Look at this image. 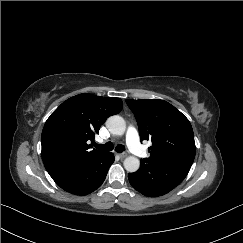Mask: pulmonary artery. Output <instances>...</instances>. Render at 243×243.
Listing matches in <instances>:
<instances>
[{"instance_id":"pulmonary-artery-1","label":"pulmonary artery","mask_w":243,"mask_h":243,"mask_svg":"<svg viewBox=\"0 0 243 243\" xmlns=\"http://www.w3.org/2000/svg\"><path fill=\"white\" fill-rule=\"evenodd\" d=\"M126 142L129 148L138 156H143L144 151L141 148L140 141H139V135L137 130L130 126L128 127L126 131Z\"/></svg>"}]
</instances>
